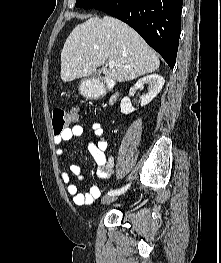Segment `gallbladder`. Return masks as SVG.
<instances>
[{
  "label": "gallbladder",
  "mask_w": 221,
  "mask_h": 263,
  "mask_svg": "<svg viewBox=\"0 0 221 263\" xmlns=\"http://www.w3.org/2000/svg\"><path fill=\"white\" fill-rule=\"evenodd\" d=\"M101 73H102V70L98 69V70L95 71V73L93 74V76H94L95 78H98V77H100Z\"/></svg>",
  "instance_id": "gallbladder-1"
}]
</instances>
